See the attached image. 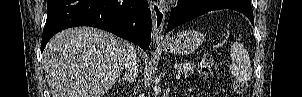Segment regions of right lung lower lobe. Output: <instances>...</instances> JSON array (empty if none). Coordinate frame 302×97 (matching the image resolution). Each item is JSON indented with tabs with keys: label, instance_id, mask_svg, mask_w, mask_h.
<instances>
[{
	"label": "right lung lower lobe",
	"instance_id": "obj_1",
	"mask_svg": "<svg viewBox=\"0 0 302 97\" xmlns=\"http://www.w3.org/2000/svg\"><path fill=\"white\" fill-rule=\"evenodd\" d=\"M151 24L147 0H48L41 51L53 35L74 26L97 27L146 50Z\"/></svg>",
	"mask_w": 302,
	"mask_h": 97
}]
</instances>
